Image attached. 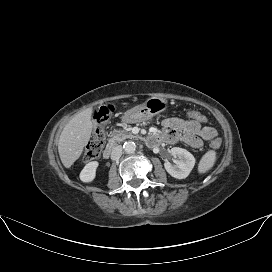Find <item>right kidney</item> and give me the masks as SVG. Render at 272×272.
<instances>
[{"instance_id":"right-kidney-1","label":"right kidney","mask_w":272,"mask_h":272,"mask_svg":"<svg viewBox=\"0 0 272 272\" xmlns=\"http://www.w3.org/2000/svg\"><path fill=\"white\" fill-rule=\"evenodd\" d=\"M98 165L99 163L97 161H92L86 164L80 173V180L86 183L92 182L96 177V169Z\"/></svg>"}]
</instances>
